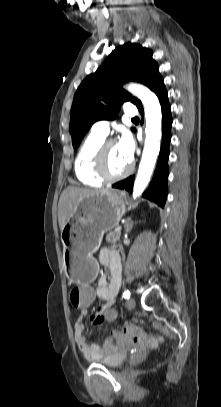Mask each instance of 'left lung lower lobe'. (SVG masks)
I'll list each match as a JSON object with an SVG mask.
<instances>
[{
	"mask_svg": "<svg viewBox=\"0 0 221 407\" xmlns=\"http://www.w3.org/2000/svg\"><path fill=\"white\" fill-rule=\"evenodd\" d=\"M153 91L158 96L162 107L163 140L154 177L147 191L143 193V197H146L156 202L159 206L164 207L167 197V179L169 174L167 161L169 157V142L171 139L170 129L172 125V118L170 113V105L167 97V91L163 79L159 80V82L154 87ZM138 110L143 116L144 111L142 105L138 107ZM133 182L134 176H130L123 181L113 184L112 187L118 189H125L127 191L132 192Z\"/></svg>",
	"mask_w": 221,
	"mask_h": 407,
	"instance_id": "1",
	"label": "left lung lower lobe"
}]
</instances>
